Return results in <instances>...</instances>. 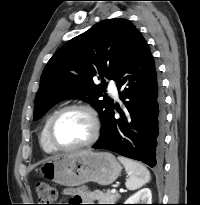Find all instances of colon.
I'll list each match as a JSON object with an SVG mask.
<instances>
[{"mask_svg": "<svg viewBox=\"0 0 200 205\" xmlns=\"http://www.w3.org/2000/svg\"><path fill=\"white\" fill-rule=\"evenodd\" d=\"M38 198V205H54L57 198V192L53 186L45 181H38L35 185Z\"/></svg>", "mask_w": 200, "mask_h": 205, "instance_id": "colon-1", "label": "colon"}]
</instances>
